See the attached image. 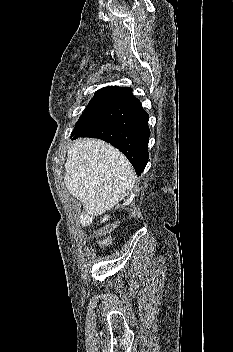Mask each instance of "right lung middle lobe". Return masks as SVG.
Segmentation results:
<instances>
[{"instance_id": "obj_1", "label": "right lung middle lobe", "mask_w": 233, "mask_h": 352, "mask_svg": "<svg viewBox=\"0 0 233 352\" xmlns=\"http://www.w3.org/2000/svg\"><path fill=\"white\" fill-rule=\"evenodd\" d=\"M132 96L131 88L105 87L98 90L75 124L72 133L78 131L106 110Z\"/></svg>"}]
</instances>
